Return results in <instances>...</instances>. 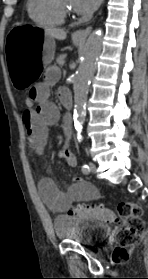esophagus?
I'll return each mask as SVG.
<instances>
[{
  "mask_svg": "<svg viewBox=\"0 0 148 279\" xmlns=\"http://www.w3.org/2000/svg\"><path fill=\"white\" fill-rule=\"evenodd\" d=\"M92 30V26H88L85 29L77 30L73 33V37L77 40L83 41L89 35Z\"/></svg>",
  "mask_w": 148,
  "mask_h": 279,
  "instance_id": "34e87169",
  "label": "esophagus"
}]
</instances>
